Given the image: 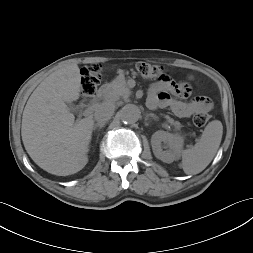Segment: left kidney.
I'll use <instances>...</instances> for the list:
<instances>
[{"label": "left kidney", "instance_id": "1", "mask_svg": "<svg viewBox=\"0 0 253 253\" xmlns=\"http://www.w3.org/2000/svg\"><path fill=\"white\" fill-rule=\"evenodd\" d=\"M183 137L179 134L166 133L157 131L152 135V150L156 158L165 163H172L178 159L183 146ZM166 150H163V146Z\"/></svg>", "mask_w": 253, "mask_h": 253}]
</instances>
